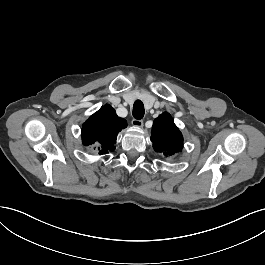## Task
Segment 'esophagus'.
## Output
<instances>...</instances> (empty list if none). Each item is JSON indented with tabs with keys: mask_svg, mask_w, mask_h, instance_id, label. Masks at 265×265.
Returning a JSON list of instances; mask_svg holds the SVG:
<instances>
[{
	"mask_svg": "<svg viewBox=\"0 0 265 265\" xmlns=\"http://www.w3.org/2000/svg\"><path fill=\"white\" fill-rule=\"evenodd\" d=\"M132 125L136 128H142L143 127V121L142 120H137L133 119L132 120Z\"/></svg>",
	"mask_w": 265,
	"mask_h": 265,
	"instance_id": "1",
	"label": "esophagus"
}]
</instances>
